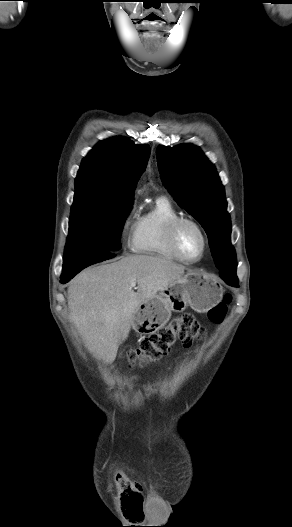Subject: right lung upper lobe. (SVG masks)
Wrapping results in <instances>:
<instances>
[{
  "mask_svg": "<svg viewBox=\"0 0 292 527\" xmlns=\"http://www.w3.org/2000/svg\"><path fill=\"white\" fill-rule=\"evenodd\" d=\"M149 156L148 145H135L124 137L101 141L83 159L75 188L95 191L114 201L133 200Z\"/></svg>",
  "mask_w": 292,
  "mask_h": 527,
  "instance_id": "1",
  "label": "right lung upper lobe"
}]
</instances>
